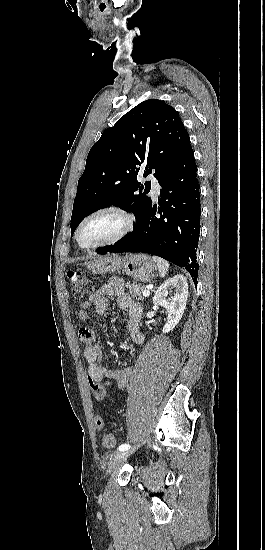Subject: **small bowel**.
Wrapping results in <instances>:
<instances>
[{
    "label": "small bowel",
    "mask_w": 265,
    "mask_h": 550,
    "mask_svg": "<svg viewBox=\"0 0 265 550\" xmlns=\"http://www.w3.org/2000/svg\"><path fill=\"white\" fill-rule=\"evenodd\" d=\"M116 296L118 307L127 314L126 332L130 341L136 345L143 342L144 337L139 330V320L142 315V307L134 302L125 292L124 283L120 279H111L100 287L90 298L83 301L79 312L81 319H89L88 313L91 307L97 314H104L109 308V298ZM81 342L84 344L83 355L88 364V380L98 384L104 395L110 387L123 389L130 378V368L110 369L102 363V353L96 343V333L89 328H82L79 333ZM111 380H115L113 384ZM95 396V393L92 390ZM96 419V418H95Z\"/></svg>",
    "instance_id": "small-bowel-1"
}]
</instances>
